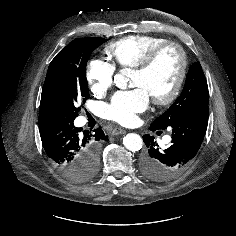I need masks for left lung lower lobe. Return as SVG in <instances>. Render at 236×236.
Wrapping results in <instances>:
<instances>
[{
    "label": "left lung lower lobe",
    "mask_w": 236,
    "mask_h": 236,
    "mask_svg": "<svg viewBox=\"0 0 236 236\" xmlns=\"http://www.w3.org/2000/svg\"><path fill=\"white\" fill-rule=\"evenodd\" d=\"M207 125L208 103L190 108L171 123L172 141L169 147L161 149L153 136L144 135L143 141L148 148L141 158L144 176L157 182L177 177L197 154Z\"/></svg>",
    "instance_id": "obj_1"
}]
</instances>
